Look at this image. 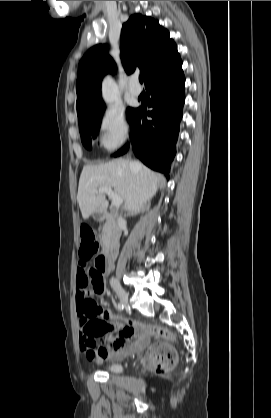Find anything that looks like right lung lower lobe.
Wrapping results in <instances>:
<instances>
[{
  "label": "right lung lower lobe",
  "mask_w": 271,
  "mask_h": 418,
  "mask_svg": "<svg viewBox=\"0 0 271 418\" xmlns=\"http://www.w3.org/2000/svg\"><path fill=\"white\" fill-rule=\"evenodd\" d=\"M185 77L181 59L154 76L146 85L152 96L149 107L137 108L132 118L131 140L135 155L148 167L164 173L168 178L169 166L176 153V141L185 100ZM147 116L152 117L151 121ZM124 146L114 154L120 156L128 151Z\"/></svg>",
  "instance_id": "right-lung-lower-lobe-1"
}]
</instances>
